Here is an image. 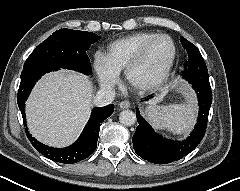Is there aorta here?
I'll return each mask as SVG.
<instances>
[{
	"label": "aorta",
	"mask_w": 240,
	"mask_h": 191,
	"mask_svg": "<svg viewBox=\"0 0 240 191\" xmlns=\"http://www.w3.org/2000/svg\"><path fill=\"white\" fill-rule=\"evenodd\" d=\"M119 121L125 126H131L136 122V114L131 110H124L119 115Z\"/></svg>",
	"instance_id": "762f6f07"
}]
</instances>
